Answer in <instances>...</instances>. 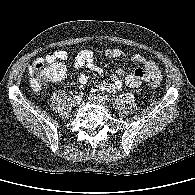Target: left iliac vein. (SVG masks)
I'll return each mask as SVG.
<instances>
[{
	"label": "left iliac vein",
	"instance_id": "left-iliac-vein-1",
	"mask_svg": "<svg viewBox=\"0 0 195 195\" xmlns=\"http://www.w3.org/2000/svg\"><path fill=\"white\" fill-rule=\"evenodd\" d=\"M89 100L92 101V102H96L100 105H104L105 104V100L102 96L100 95H96V94H91L89 96Z\"/></svg>",
	"mask_w": 195,
	"mask_h": 195
}]
</instances>
